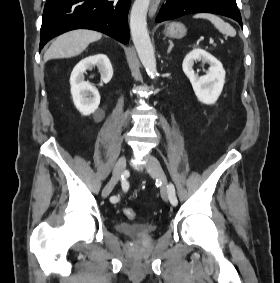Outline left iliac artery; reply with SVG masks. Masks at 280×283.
I'll use <instances>...</instances> for the list:
<instances>
[{"instance_id":"44dca946","label":"left iliac artery","mask_w":280,"mask_h":283,"mask_svg":"<svg viewBox=\"0 0 280 283\" xmlns=\"http://www.w3.org/2000/svg\"><path fill=\"white\" fill-rule=\"evenodd\" d=\"M168 194H169V200L173 206H176L178 204V200L175 193V187L172 183H169L168 185Z\"/></svg>"}]
</instances>
